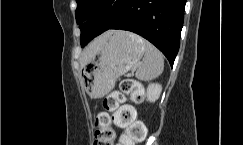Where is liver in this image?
<instances>
[{
  "instance_id": "obj_1",
  "label": "liver",
  "mask_w": 243,
  "mask_h": 145,
  "mask_svg": "<svg viewBox=\"0 0 243 145\" xmlns=\"http://www.w3.org/2000/svg\"><path fill=\"white\" fill-rule=\"evenodd\" d=\"M110 33L111 31L106 32L105 34L101 35L88 45L81 59L82 64L87 62L90 59V57L100 48V46L104 43V41L107 39Z\"/></svg>"
}]
</instances>
